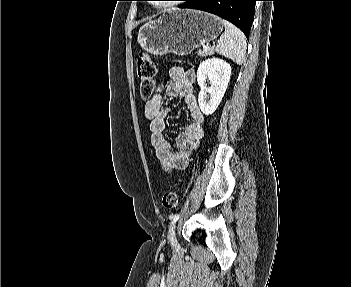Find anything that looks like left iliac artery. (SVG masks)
Masks as SVG:
<instances>
[{
    "label": "left iliac artery",
    "mask_w": 351,
    "mask_h": 287,
    "mask_svg": "<svg viewBox=\"0 0 351 287\" xmlns=\"http://www.w3.org/2000/svg\"><path fill=\"white\" fill-rule=\"evenodd\" d=\"M178 219H179V214H175L171 217L170 231L173 230V226Z\"/></svg>",
    "instance_id": "left-iliac-artery-1"
}]
</instances>
